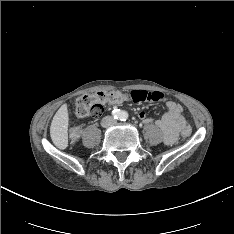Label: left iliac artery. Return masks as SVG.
<instances>
[{"label":"left iliac artery","instance_id":"left-iliac-artery-1","mask_svg":"<svg viewBox=\"0 0 234 234\" xmlns=\"http://www.w3.org/2000/svg\"><path fill=\"white\" fill-rule=\"evenodd\" d=\"M126 117H127V116H126L125 114H123L122 117H121V118H122L121 120L125 121V120H126Z\"/></svg>","mask_w":234,"mask_h":234}]
</instances>
